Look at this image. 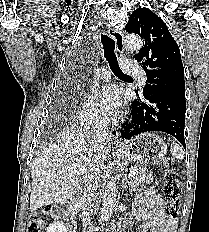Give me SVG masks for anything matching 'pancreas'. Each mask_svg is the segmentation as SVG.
Masks as SVG:
<instances>
[{
  "label": "pancreas",
  "mask_w": 209,
  "mask_h": 232,
  "mask_svg": "<svg viewBox=\"0 0 209 232\" xmlns=\"http://www.w3.org/2000/svg\"><path fill=\"white\" fill-rule=\"evenodd\" d=\"M130 170L134 171L135 174L130 177L129 185L134 189H139V186L144 188V184H148L153 181V175L152 174H146L143 169L140 167H131Z\"/></svg>",
  "instance_id": "cf45deb5"
}]
</instances>
